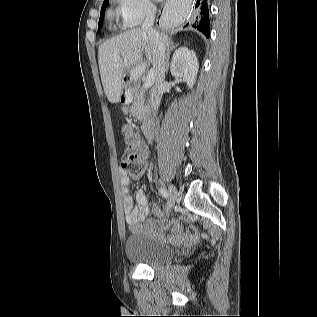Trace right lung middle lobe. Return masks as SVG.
I'll use <instances>...</instances> for the list:
<instances>
[{"label":"right lung middle lobe","mask_w":317,"mask_h":317,"mask_svg":"<svg viewBox=\"0 0 317 317\" xmlns=\"http://www.w3.org/2000/svg\"><path fill=\"white\" fill-rule=\"evenodd\" d=\"M107 4H108V0H104L102 8H101L98 30H100V28L102 26V22H103V18H104V12H105Z\"/></svg>","instance_id":"obj_1"}]
</instances>
